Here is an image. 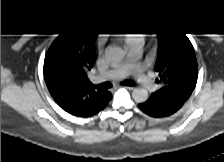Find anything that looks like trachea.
Returning <instances> with one entry per match:
<instances>
[{
	"label": "trachea",
	"mask_w": 224,
	"mask_h": 162,
	"mask_svg": "<svg viewBox=\"0 0 224 162\" xmlns=\"http://www.w3.org/2000/svg\"><path fill=\"white\" fill-rule=\"evenodd\" d=\"M121 84L127 85V86H133L135 83L131 80H125ZM95 87L98 88V89L106 90V89L111 88L112 84L110 82H105V83L96 85Z\"/></svg>",
	"instance_id": "1"
}]
</instances>
